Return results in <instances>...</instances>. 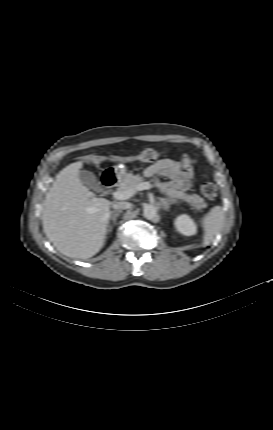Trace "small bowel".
<instances>
[{"label":"small bowel","mask_w":273,"mask_h":430,"mask_svg":"<svg viewBox=\"0 0 273 430\" xmlns=\"http://www.w3.org/2000/svg\"><path fill=\"white\" fill-rule=\"evenodd\" d=\"M184 164V163H183ZM182 170L181 163L171 159H161L150 165L145 170V175L157 178H164V187L175 188L177 190H188L194 181V173L190 167L184 164Z\"/></svg>","instance_id":"1"}]
</instances>
